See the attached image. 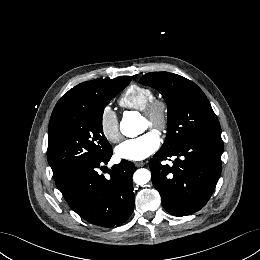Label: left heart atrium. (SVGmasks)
I'll list each match as a JSON object with an SVG mask.
<instances>
[{"label":"left heart atrium","instance_id":"obj_1","mask_svg":"<svg viewBox=\"0 0 260 260\" xmlns=\"http://www.w3.org/2000/svg\"><path fill=\"white\" fill-rule=\"evenodd\" d=\"M159 146V135L154 131H148L139 137L122 142L116 148V155L121 159L141 161L153 154Z\"/></svg>","mask_w":260,"mask_h":260}]
</instances>
